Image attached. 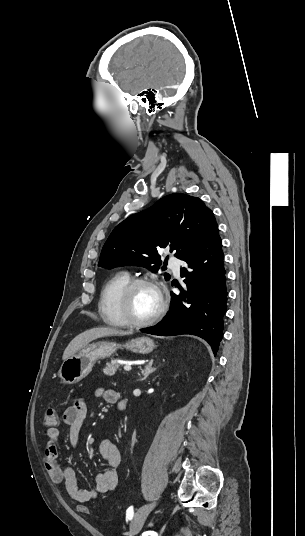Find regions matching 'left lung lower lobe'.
<instances>
[{
    "instance_id": "0a47b994",
    "label": "left lung lower lobe",
    "mask_w": 305,
    "mask_h": 536,
    "mask_svg": "<svg viewBox=\"0 0 305 536\" xmlns=\"http://www.w3.org/2000/svg\"><path fill=\"white\" fill-rule=\"evenodd\" d=\"M182 260L185 267L180 272L181 277H185V290L179 287L180 294L171 292L172 303L167 316L141 332L160 336L196 335L205 339L216 355L222 340L228 295L218 227Z\"/></svg>"
}]
</instances>
